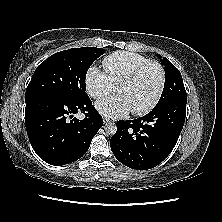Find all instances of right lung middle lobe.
<instances>
[{"instance_id":"dd1d6c3e","label":"right lung middle lobe","mask_w":222,"mask_h":222,"mask_svg":"<svg viewBox=\"0 0 222 222\" xmlns=\"http://www.w3.org/2000/svg\"><path fill=\"white\" fill-rule=\"evenodd\" d=\"M104 52L102 48L82 47L51 55L36 68L27 87L25 101L48 94L70 99L87 97V71Z\"/></svg>"}]
</instances>
